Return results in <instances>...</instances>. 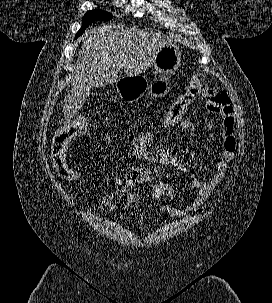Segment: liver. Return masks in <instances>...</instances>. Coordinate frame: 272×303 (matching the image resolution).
<instances>
[{"mask_svg":"<svg viewBox=\"0 0 272 303\" xmlns=\"http://www.w3.org/2000/svg\"><path fill=\"white\" fill-rule=\"evenodd\" d=\"M81 39L71 92L64 99L66 125L84 104L92 87L116 82L122 68L127 77L138 76L151 67L160 49L173 41L158 32L121 24L89 29Z\"/></svg>","mask_w":272,"mask_h":303,"instance_id":"liver-1","label":"liver"}]
</instances>
